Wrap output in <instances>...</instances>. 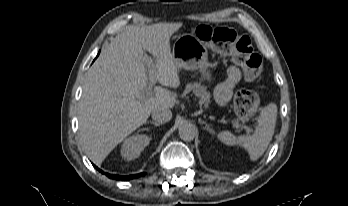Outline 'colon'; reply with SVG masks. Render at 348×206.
Segmentation results:
<instances>
[{
	"instance_id": "colon-1",
	"label": "colon",
	"mask_w": 348,
	"mask_h": 206,
	"mask_svg": "<svg viewBox=\"0 0 348 206\" xmlns=\"http://www.w3.org/2000/svg\"><path fill=\"white\" fill-rule=\"evenodd\" d=\"M197 38L211 44L217 52L230 55L243 69L247 80H254L262 73L263 63L255 53L250 38L228 27L200 25L196 28ZM236 114L242 118H251L259 110V97L250 90L240 89L233 100Z\"/></svg>"
}]
</instances>
